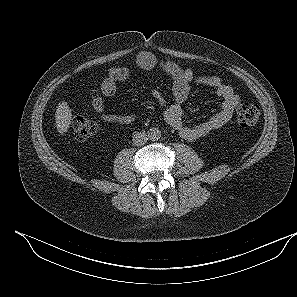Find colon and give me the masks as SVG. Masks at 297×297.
Instances as JSON below:
<instances>
[{
  "label": "colon",
  "instance_id": "obj_1",
  "mask_svg": "<svg viewBox=\"0 0 297 297\" xmlns=\"http://www.w3.org/2000/svg\"><path fill=\"white\" fill-rule=\"evenodd\" d=\"M261 110L257 104L243 103L237 109L238 123L243 127L255 125L260 117ZM74 136L78 140H84L93 136L96 132V123L83 116L75 115L71 120Z\"/></svg>",
  "mask_w": 297,
  "mask_h": 297
}]
</instances>
